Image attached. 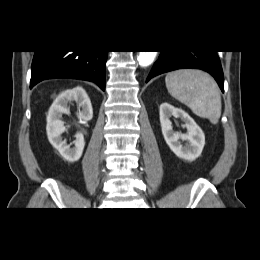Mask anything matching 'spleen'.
Segmentation results:
<instances>
[{"label": "spleen", "mask_w": 260, "mask_h": 260, "mask_svg": "<svg viewBox=\"0 0 260 260\" xmlns=\"http://www.w3.org/2000/svg\"><path fill=\"white\" fill-rule=\"evenodd\" d=\"M172 97L189 107L194 114L217 124L221 116V95L215 80L200 70L183 69L165 77Z\"/></svg>", "instance_id": "spleen-1"}]
</instances>
